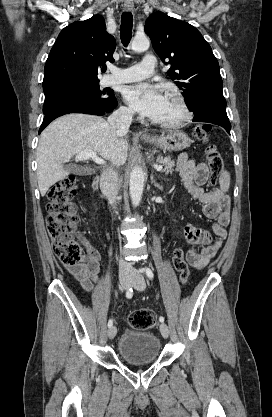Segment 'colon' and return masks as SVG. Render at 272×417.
I'll return each instance as SVG.
<instances>
[{"mask_svg":"<svg viewBox=\"0 0 272 417\" xmlns=\"http://www.w3.org/2000/svg\"><path fill=\"white\" fill-rule=\"evenodd\" d=\"M213 132L210 124H199L194 128L196 138L206 141ZM206 160L210 170V180L216 184L223 172L224 165L217 147L210 143L206 148ZM77 180L70 175L56 184L48 192L47 229L53 242L54 253L66 265H78L83 261L84 255L77 241V216L71 200L77 193ZM173 266L179 273L182 283L189 278V268L184 259V252L176 248L172 255ZM131 327L147 330L155 325V313L146 308L137 309L129 315Z\"/></svg>","mask_w":272,"mask_h":417,"instance_id":"1","label":"colon"}]
</instances>
